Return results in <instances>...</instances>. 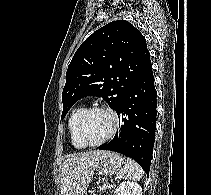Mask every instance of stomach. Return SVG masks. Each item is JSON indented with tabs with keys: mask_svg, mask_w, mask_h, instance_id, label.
<instances>
[{
	"mask_svg": "<svg viewBox=\"0 0 211 195\" xmlns=\"http://www.w3.org/2000/svg\"><path fill=\"white\" fill-rule=\"evenodd\" d=\"M123 164L124 158L120 154L104 151L95 161L92 173L94 175L96 172L97 175L103 176L114 175L121 170Z\"/></svg>",
	"mask_w": 211,
	"mask_h": 195,
	"instance_id": "obj_1",
	"label": "stomach"
}]
</instances>
